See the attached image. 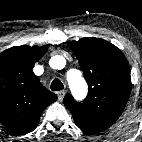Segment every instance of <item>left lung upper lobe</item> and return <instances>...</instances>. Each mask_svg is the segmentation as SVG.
I'll list each match as a JSON object with an SVG mask.
<instances>
[{"label":"left lung upper lobe","instance_id":"5c2ea615","mask_svg":"<svg viewBox=\"0 0 142 142\" xmlns=\"http://www.w3.org/2000/svg\"><path fill=\"white\" fill-rule=\"evenodd\" d=\"M89 86L82 102L71 94L64 104L83 131L96 133L109 128L122 114L131 92L130 68L123 53L113 44L100 38L70 41Z\"/></svg>","mask_w":142,"mask_h":142}]
</instances>
